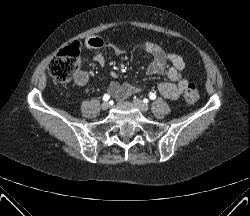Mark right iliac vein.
<instances>
[{"label": "right iliac vein", "mask_w": 250, "mask_h": 216, "mask_svg": "<svg viewBox=\"0 0 250 216\" xmlns=\"http://www.w3.org/2000/svg\"><path fill=\"white\" fill-rule=\"evenodd\" d=\"M102 110H107L109 108V103L108 102H103L101 105Z\"/></svg>", "instance_id": "1"}]
</instances>
